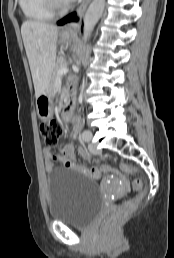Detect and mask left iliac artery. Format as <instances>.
Returning <instances> with one entry per match:
<instances>
[{
    "mask_svg": "<svg viewBox=\"0 0 174 258\" xmlns=\"http://www.w3.org/2000/svg\"><path fill=\"white\" fill-rule=\"evenodd\" d=\"M91 132L90 131H84L83 133H82V139L84 140V141H86V142H88V141H90L91 140Z\"/></svg>",
    "mask_w": 174,
    "mask_h": 258,
    "instance_id": "obj_1",
    "label": "left iliac artery"
}]
</instances>
